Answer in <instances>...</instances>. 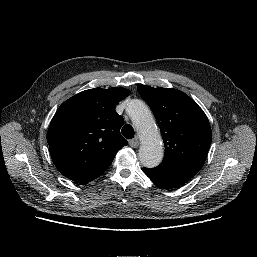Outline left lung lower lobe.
Masks as SVG:
<instances>
[{
  "label": "left lung lower lobe",
  "mask_w": 257,
  "mask_h": 257,
  "mask_svg": "<svg viewBox=\"0 0 257 257\" xmlns=\"http://www.w3.org/2000/svg\"><path fill=\"white\" fill-rule=\"evenodd\" d=\"M151 181L160 188L171 189L176 188L191 179V177L159 167L142 168Z\"/></svg>",
  "instance_id": "left-lung-lower-lobe-1"
}]
</instances>
